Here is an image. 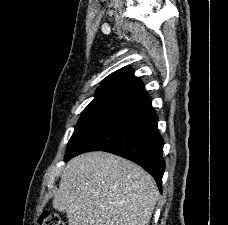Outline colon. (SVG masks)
<instances>
[{
    "label": "colon",
    "mask_w": 228,
    "mask_h": 225,
    "mask_svg": "<svg viewBox=\"0 0 228 225\" xmlns=\"http://www.w3.org/2000/svg\"><path fill=\"white\" fill-rule=\"evenodd\" d=\"M40 225H65V222L54 211L46 210L40 217Z\"/></svg>",
    "instance_id": "5ec220e1"
}]
</instances>
